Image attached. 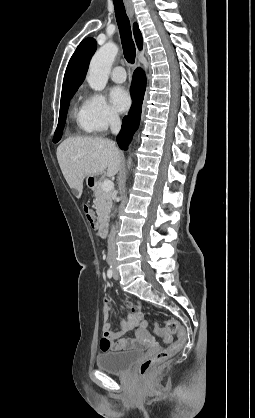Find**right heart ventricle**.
Listing matches in <instances>:
<instances>
[{"mask_svg":"<svg viewBox=\"0 0 255 418\" xmlns=\"http://www.w3.org/2000/svg\"><path fill=\"white\" fill-rule=\"evenodd\" d=\"M72 118L75 120L77 126L85 131L89 132L84 124V117H83V108L82 107H74L71 113Z\"/></svg>","mask_w":255,"mask_h":418,"instance_id":"1","label":"right heart ventricle"}]
</instances>
